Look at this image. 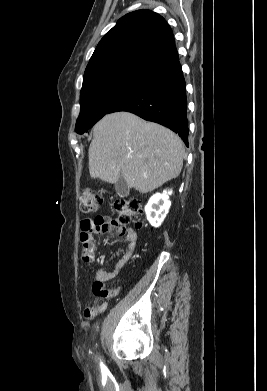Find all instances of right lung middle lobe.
Returning a JSON list of instances; mask_svg holds the SVG:
<instances>
[{
    "label": "right lung middle lobe",
    "mask_w": 267,
    "mask_h": 391,
    "mask_svg": "<svg viewBox=\"0 0 267 391\" xmlns=\"http://www.w3.org/2000/svg\"><path fill=\"white\" fill-rule=\"evenodd\" d=\"M149 74L119 71L97 76L83 84L75 131L83 134L104 115L144 84Z\"/></svg>",
    "instance_id": "right-lung-middle-lobe-1"
}]
</instances>
